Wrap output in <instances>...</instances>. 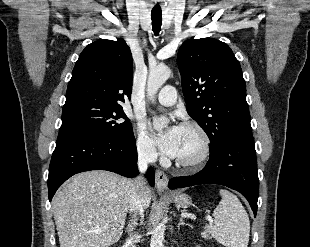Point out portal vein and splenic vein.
<instances>
[{
	"mask_svg": "<svg viewBox=\"0 0 310 247\" xmlns=\"http://www.w3.org/2000/svg\"><path fill=\"white\" fill-rule=\"evenodd\" d=\"M206 219H207L210 223H212V222H213L212 218H211V217H209V216H207V217H206ZM96 233H101V231H96Z\"/></svg>",
	"mask_w": 310,
	"mask_h": 247,
	"instance_id": "portal-vein-and-splenic-vein-1",
	"label": "portal vein and splenic vein"
}]
</instances>
